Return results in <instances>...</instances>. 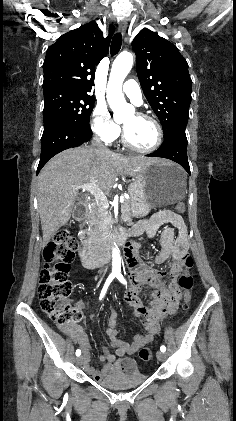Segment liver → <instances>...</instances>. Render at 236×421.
Masks as SVG:
<instances>
[{"label":"liver","instance_id":"liver-1","mask_svg":"<svg viewBox=\"0 0 236 421\" xmlns=\"http://www.w3.org/2000/svg\"><path fill=\"white\" fill-rule=\"evenodd\" d=\"M159 162L151 156H121L102 148H67L53 156L38 174L37 200L43 233V247L56 231L67 225L78 196L72 184L96 180L103 192H109L119 172L137 174L140 166Z\"/></svg>","mask_w":236,"mask_h":421}]
</instances>
